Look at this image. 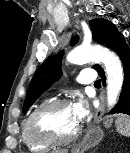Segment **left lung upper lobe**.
<instances>
[{
	"instance_id": "1",
	"label": "left lung upper lobe",
	"mask_w": 130,
	"mask_h": 153,
	"mask_svg": "<svg viewBox=\"0 0 130 153\" xmlns=\"http://www.w3.org/2000/svg\"><path fill=\"white\" fill-rule=\"evenodd\" d=\"M89 25L92 30L93 41L106 45L107 41L118 32L115 26L108 20L105 19H93ZM79 40L78 36H74L71 40V45H75ZM63 52L48 58L38 68L35 75L33 76L27 96L23 105V113H25L31 105L40 97V95L48 89L55 81L61 76V58ZM93 68L98 70L99 65H94Z\"/></svg>"
}]
</instances>
